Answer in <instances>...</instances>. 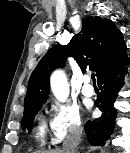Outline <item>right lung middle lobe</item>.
Returning a JSON list of instances; mask_svg holds the SVG:
<instances>
[{
    "mask_svg": "<svg viewBox=\"0 0 130 153\" xmlns=\"http://www.w3.org/2000/svg\"><path fill=\"white\" fill-rule=\"evenodd\" d=\"M41 107H42V104H37L24 110L23 119H22V128L24 130L26 128L28 131L32 129L34 117L38 113Z\"/></svg>",
    "mask_w": 130,
    "mask_h": 153,
    "instance_id": "right-lung-middle-lobe-1",
    "label": "right lung middle lobe"
}]
</instances>
